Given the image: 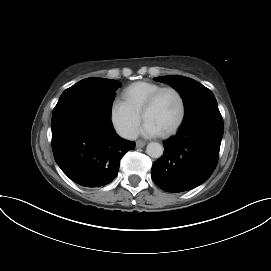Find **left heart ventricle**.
Here are the masks:
<instances>
[{"label": "left heart ventricle", "mask_w": 271, "mask_h": 271, "mask_svg": "<svg viewBox=\"0 0 271 271\" xmlns=\"http://www.w3.org/2000/svg\"><path fill=\"white\" fill-rule=\"evenodd\" d=\"M179 110L177 96L173 92L167 91L159 96L153 108L145 115V120L152 122L164 133L175 124Z\"/></svg>", "instance_id": "1"}]
</instances>
